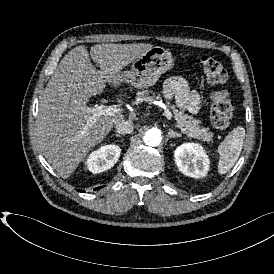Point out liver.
I'll return each mask as SVG.
<instances>
[{
    "label": "liver",
    "instance_id": "1",
    "mask_svg": "<svg viewBox=\"0 0 274 274\" xmlns=\"http://www.w3.org/2000/svg\"><path fill=\"white\" fill-rule=\"evenodd\" d=\"M152 47L144 43L96 44L88 52L79 45L60 61L39 101L36 134L43 155L62 178L70 177L89 151L124 119L122 114L101 116L87 125L89 98L101 94L106 83L120 86L123 67Z\"/></svg>",
    "mask_w": 274,
    "mask_h": 274
}]
</instances>
